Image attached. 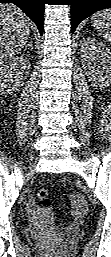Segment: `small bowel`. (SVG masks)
<instances>
[{
  "instance_id": "c3829d8e",
  "label": "small bowel",
  "mask_w": 111,
  "mask_h": 257,
  "mask_svg": "<svg viewBox=\"0 0 111 257\" xmlns=\"http://www.w3.org/2000/svg\"><path fill=\"white\" fill-rule=\"evenodd\" d=\"M29 213H30L31 218L34 220L36 216H35L34 207L32 205H30V207H29Z\"/></svg>"
}]
</instances>
